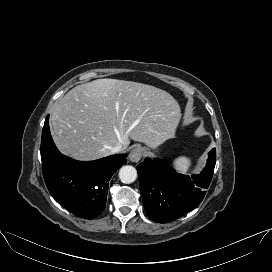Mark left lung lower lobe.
Listing matches in <instances>:
<instances>
[{
	"label": "left lung lower lobe",
	"mask_w": 272,
	"mask_h": 272,
	"mask_svg": "<svg viewBox=\"0 0 272 272\" xmlns=\"http://www.w3.org/2000/svg\"><path fill=\"white\" fill-rule=\"evenodd\" d=\"M215 163L213 148L201 174L189 177L177 173L160 159L146 158L137 166V172L147 215L155 222L167 223L197 207L209 187Z\"/></svg>",
	"instance_id": "left-lung-lower-lobe-1"
}]
</instances>
